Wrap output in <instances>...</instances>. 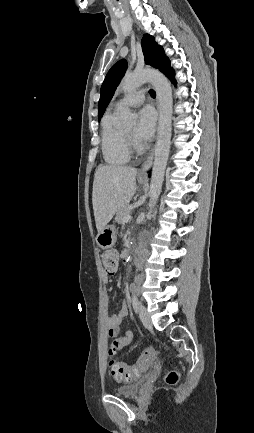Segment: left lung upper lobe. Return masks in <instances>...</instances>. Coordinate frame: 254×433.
Masks as SVG:
<instances>
[{"label": "left lung upper lobe", "instance_id": "left-lung-upper-lobe-1", "mask_svg": "<svg viewBox=\"0 0 254 433\" xmlns=\"http://www.w3.org/2000/svg\"><path fill=\"white\" fill-rule=\"evenodd\" d=\"M142 49L147 64L158 68L163 72L168 66H170L169 59L165 56L163 49L159 46L153 36L148 34L143 35ZM127 69V61L122 59L114 64L108 71L105 80L101 86L100 100L98 103V120L101 119L109 101L114 95V91L118 86L121 78L124 76Z\"/></svg>", "mask_w": 254, "mask_h": 433}]
</instances>
